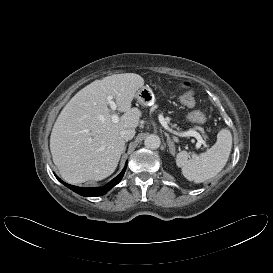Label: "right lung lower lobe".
I'll return each instance as SVG.
<instances>
[{
    "instance_id": "1",
    "label": "right lung lower lobe",
    "mask_w": 273,
    "mask_h": 273,
    "mask_svg": "<svg viewBox=\"0 0 273 273\" xmlns=\"http://www.w3.org/2000/svg\"><path fill=\"white\" fill-rule=\"evenodd\" d=\"M126 167L122 170V172L115 177L112 181H110L106 186L102 187V188H83V187H78V186H73L70 184H67L65 182H63L62 180H60L58 177L57 179L63 183L65 186H67L69 189L73 190L74 192L82 195V196H86V197H95V196H101L104 195L106 192H108L111 188H113L115 185H117L124 173H125Z\"/></svg>"
}]
</instances>
